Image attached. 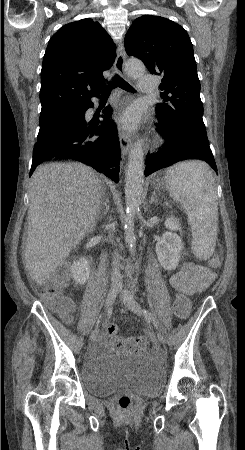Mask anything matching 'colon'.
<instances>
[{"label": "colon", "instance_id": "1", "mask_svg": "<svg viewBox=\"0 0 245 450\" xmlns=\"http://www.w3.org/2000/svg\"><path fill=\"white\" fill-rule=\"evenodd\" d=\"M209 264L213 268H218L221 265V259L218 255H213L209 259ZM69 276L60 274L45 282L39 289L43 295L48 307L58 313L64 320L69 321L72 311L74 309L73 302L65 297L62 290L67 286ZM191 310V300L183 293H178L174 299V313L177 317L185 319L188 317ZM117 327L109 325L107 333L110 336L111 345L120 350L137 352L148 347V339L143 336L124 338L116 336ZM131 404V399L127 395H123L118 400L119 408L123 411L127 410Z\"/></svg>", "mask_w": 245, "mask_h": 450}]
</instances>
